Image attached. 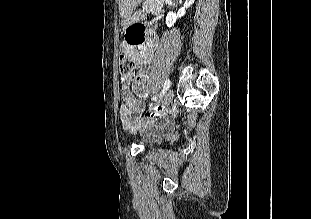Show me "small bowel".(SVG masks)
Listing matches in <instances>:
<instances>
[{
	"mask_svg": "<svg viewBox=\"0 0 311 219\" xmlns=\"http://www.w3.org/2000/svg\"><path fill=\"white\" fill-rule=\"evenodd\" d=\"M157 47V38L154 36L153 31L150 30L145 34L143 29L141 37L138 41L130 43L124 41L121 44V52L123 55L131 57L135 64L140 69V77L147 82V75L145 68H147L154 58V53ZM131 74L126 76L125 82L122 83V98L123 104L120 107L119 116L125 128L136 130L143 124L142 115L144 114L145 107L137 95L131 92L128 88ZM171 130L169 120L159 121L154 130L148 133V138H156L161 134L168 133Z\"/></svg>",
	"mask_w": 311,
	"mask_h": 219,
	"instance_id": "obj_1",
	"label": "small bowel"
}]
</instances>
